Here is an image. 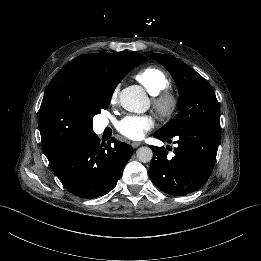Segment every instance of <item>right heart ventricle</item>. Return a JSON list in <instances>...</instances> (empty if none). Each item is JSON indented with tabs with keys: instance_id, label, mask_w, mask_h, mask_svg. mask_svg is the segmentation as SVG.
I'll return each mask as SVG.
<instances>
[{
	"instance_id": "right-heart-ventricle-1",
	"label": "right heart ventricle",
	"mask_w": 261,
	"mask_h": 261,
	"mask_svg": "<svg viewBox=\"0 0 261 261\" xmlns=\"http://www.w3.org/2000/svg\"><path fill=\"white\" fill-rule=\"evenodd\" d=\"M138 81L151 95H158L169 85V79L165 72L156 66L144 68L137 76Z\"/></svg>"
}]
</instances>
